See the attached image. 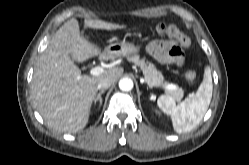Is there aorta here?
I'll use <instances>...</instances> for the list:
<instances>
[{"mask_svg":"<svg viewBox=\"0 0 249 165\" xmlns=\"http://www.w3.org/2000/svg\"><path fill=\"white\" fill-rule=\"evenodd\" d=\"M119 88L122 91H131L133 89V81L128 77H124L119 81Z\"/></svg>","mask_w":249,"mask_h":165,"instance_id":"aorta-1","label":"aorta"}]
</instances>
